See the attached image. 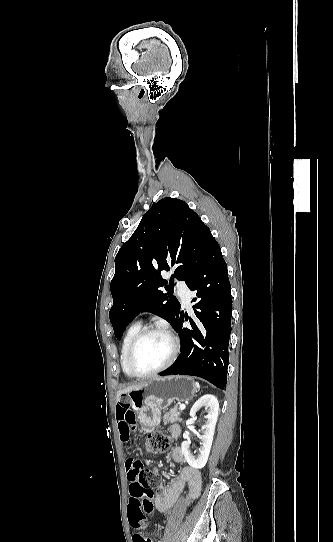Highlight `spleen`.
<instances>
[{"mask_svg":"<svg viewBox=\"0 0 333 542\" xmlns=\"http://www.w3.org/2000/svg\"><path fill=\"white\" fill-rule=\"evenodd\" d=\"M194 386H195V388H198V390H199L200 384H198V382H194Z\"/></svg>","mask_w":333,"mask_h":542,"instance_id":"1","label":"spleen"}]
</instances>
